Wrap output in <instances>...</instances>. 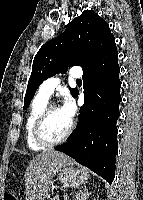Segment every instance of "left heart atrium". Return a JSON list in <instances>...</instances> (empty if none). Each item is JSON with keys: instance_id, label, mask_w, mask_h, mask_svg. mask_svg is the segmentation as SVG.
<instances>
[{"instance_id": "obj_1", "label": "left heart atrium", "mask_w": 143, "mask_h": 200, "mask_svg": "<svg viewBox=\"0 0 143 200\" xmlns=\"http://www.w3.org/2000/svg\"><path fill=\"white\" fill-rule=\"evenodd\" d=\"M65 115V117L69 120L71 123L74 115H75V105L72 99L69 96H66L63 102V105L60 108Z\"/></svg>"}]
</instances>
